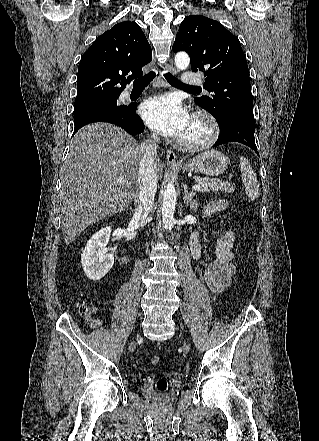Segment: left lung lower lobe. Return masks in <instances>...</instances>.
<instances>
[{"instance_id": "left-lung-lower-lobe-1", "label": "left lung lower lobe", "mask_w": 319, "mask_h": 441, "mask_svg": "<svg viewBox=\"0 0 319 441\" xmlns=\"http://www.w3.org/2000/svg\"><path fill=\"white\" fill-rule=\"evenodd\" d=\"M219 128L220 136L214 146L239 142L257 151L254 139L255 123L240 118H231Z\"/></svg>"}]
</instances>
